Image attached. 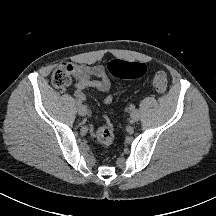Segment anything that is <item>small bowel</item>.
Returning a JSON list of instances; mask_svg holds the SVG:
<instances>
[{
    "label": "small bowel",
    "instance_id": "small-bowel-1",
    "mask_svg": "<svg viewBox=\"0 0 216 216\" xmlns=\"http://www.w3.org/2000/svg\"><path fill=\"white\" fill-rule=\"evenodd\" d=\"M66 66L69 67L70 73L74 77L75 98L85 101L86 97L83 91L91 87L106 94L103 99L104 104L108 105L113 101L114 95L111 83L102 65L67 64ZM96 133V129L91 130L93 137L96 136Z\"/></svg>",
    "mask_w": 216,
    "mask_h": 216
}]
</instances>
